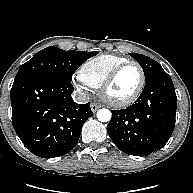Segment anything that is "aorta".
Wrapping results in <instances>:
<instances>
[{
  "instance_id": "1",
  "label": "aorta",
  "mask_w": 193,
  "mask_h": 193,
  "mask_svg": "<svg viewBox=\"0 0 193 193\" xmlns=\"http://www.w3.org/2000/svg\"><path fill=\"white\" fill-rule=\"evenodd\" d=\"M97 118L101 122H108L111 119V112L108 109L102 108L98 110Z\"/></svg>"
}]
</instances>
